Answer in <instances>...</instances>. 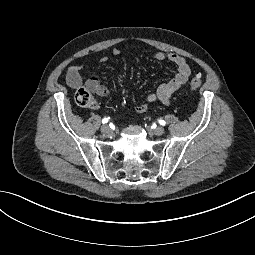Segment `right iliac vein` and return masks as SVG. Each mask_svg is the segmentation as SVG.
<instances>
[{"instance_id":"63e3f726","label":"right iliac vein","mask_w":255,"mask_h":255,"mask_svg":"<svg viewBox=\"0 0 255 255\" xmlns=\"http://www.w3.org/2000/svg\"><path fill=\"white\" fill-rule=\"evenodd\" d=\"M101 131H102V133L107 134V135L112 134V129L108 125L102 126Z\"/></svg>"}]
</instances>
